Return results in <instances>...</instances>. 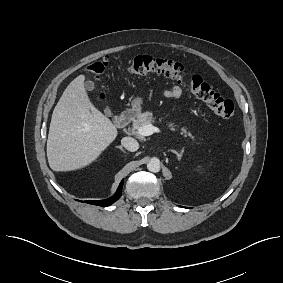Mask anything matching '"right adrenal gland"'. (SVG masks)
Returning a JSON list of instances; mask_svg holds the SVG:
<instances>
[{
    "mask_svg": "<svg viewBox=\"0 0 283 283\" xmlns=\"http://www.w3.org/2000/svg\"><path fill=\"white\" fill-rule=\"evenodd\" d=\"M117 148H119L121 151H123L124 153H126V151L123 149L122 146H117Z\"/></svg>",
    "mask_w": 283,
    "mask_h": 283,
    "instance_id": "1",
    "label": "right adrenal gland"
}]
</instances>
